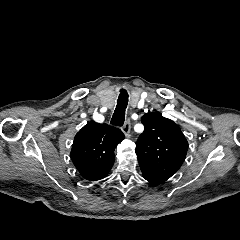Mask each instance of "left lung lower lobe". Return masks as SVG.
Listing matches in <instances>:
<instances>
[{
    "instance_id": "left-lung-lower-lobe-1",
    "label": "left lung lower lobe",
    "mask_w": 240,
    "mask_h": 240,
    "mask_svg": "<svg viewBox=\"0 0 240 240\" xmlns=\"http://www.w3.org/2000/svg\"><path fill=\"white\" fill-rule=\"evenodd\" d=\"M141 170H142L144 179H146L148 182H150L152 184H161L166 181L165 179L159 177L158 175L151 173L150 171H148L146 169H141Z\"/></svg>"
}]
</instances>
